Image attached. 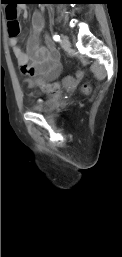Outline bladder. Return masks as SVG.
I'll return each mask as SVG.
<instances>
[{"label":"bladder","instance_id":"bladder-1","mask_svg":"<svg viewBox=\"0 0 122 257\" xmlns=\"http://www.w3.org/2000/svg\"><path fill=\"white\" fill-rule=\"evenodd\" d=\"M55 101V97H51L48 100H46L43 104H39L34 107V110L37 112H47L51 109L53 103Z\"/></svg>","mask_w":122,"mask_h":257}]
</instances>
